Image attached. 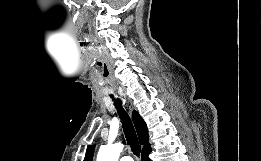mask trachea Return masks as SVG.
Here are the masks:
<instances>
[{"instance_id":"3493384b","label":"trachea","mask_w":261,"mask_h":161,"mask_svg":"<svg viewBox=\"0 0 261 161\" xmlns=\"http://www.w3.org/2000/svg\"><path fill=\"white\" fill-rule=\"evenodd\" d=\"M114 105L118 111V115L121 119L122 127L124 130L125 138L127 141V144L130 146L131 151L134 155L140 156L141 153V146L139 144L134 126L132 124V121L127 114V112L123 109L122 103L120 100H117L114 102Z\"/></svg>"}]
</instances>
